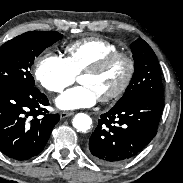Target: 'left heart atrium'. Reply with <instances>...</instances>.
Here are the masks:
<instances>
[{"instance_id":"39dd6f15","label":"left heart atrium","mask_w":183,"mask_h":183,"mask_svg":"<svg viewBox=\"0 0 183 183\" xmlns=\"http://www.w3.org/2000/svg\"><path fill=\"white\" fill-rule=\"evenodd\" d=\"M97 94L88 86L72 88L56 99L57 106L62 110H73L93 106L98 100Z\"/></svg>"}]
</instances>
